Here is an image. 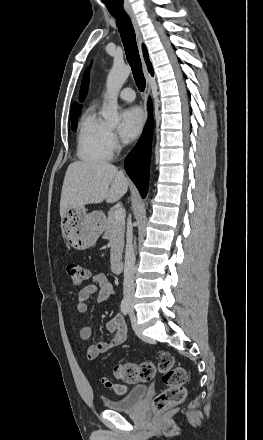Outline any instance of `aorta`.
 <instances>
[{
  "label": "aorta",
  "instance_id": "obj_1",
  "mask_svg": "<svg viewBox=\"0 0 263 440\" xmlns=\"http://www.w3.org/2000/svg\"><path fill=\"white\" fill-rule=\"evenodd\" d=\"M130 73V66L115 63L107 77L105 98L108 100V105L102 111V116L108 124L117 125L119 123L118 93Z\"/></svg>",
  "mask_w": 263,
  "mask_h": 440
}]
</instances>
